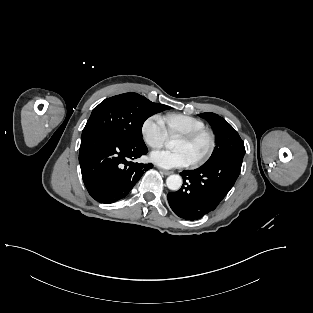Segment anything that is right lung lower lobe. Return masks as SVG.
<instances>
[{
    "instance_id": "1",
    "label": "right lung lower lobe",
    "mask_w": 313,
    "mask_h": 313,
    "mask_svg": "<svg viewBox=\"0 0 313 313\" xmlns=\"http://www.w3.org/2000/svg\"><path fill=\"white\" fill-rule=\"evenodd\" d=\"M144 142H130L108 132H95L81 139L79 162L89 194L110 204L124 198L153 165L135 163L145 155Z\"/></svg>"
}]
</instances>
